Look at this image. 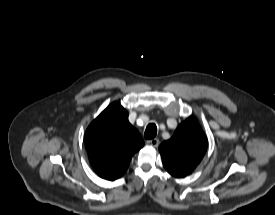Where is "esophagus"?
<instances>
[{"label": "esophagus", "mask_w": 275, "mask_h": 215, "mask_svg": "<svg viewBox=\"0 0 275 215\" xmlns=\"http://www.w3.org/2000/svg\"><path fill=\"white\" fill-rule=\"evenodd\" d=\"M146 144L149 145V146H152V147H158L159 139L154 138V139H151V140H147Z\"/></svg>", "instance_id": "34e87169"}]
</instances>
